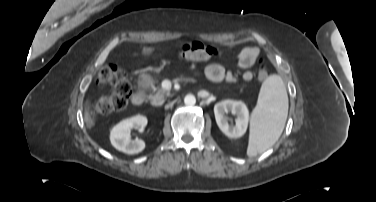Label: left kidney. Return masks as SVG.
I'll list each match as a JSON object with an SVG mask.
<instances>
[{
	"instance_id": "left-kidney-1",
	"label": "left kidney",
	"mask_w": 376,
	"mask_h": 202,
	"mask_svg": "<svg viewBox=\"0 0 376 202\" xmlns=\"http://www.w3.org/2000/svg\"><path fill=\"white\" fill-rule=\"evenodd\" d=\"M236 115L235 125L228 123L227 114ZM214 114L220 130L230 138H239L246 133L249 122V110L242 101L223 100L214 106Z\"/></svg>"
}]
</instances>
